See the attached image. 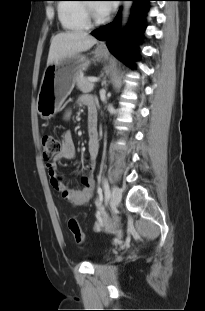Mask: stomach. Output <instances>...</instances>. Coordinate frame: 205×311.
<instances>
[{
	"mask_svg": "<svg viewBox=\"0 0 205 311\" xmlns=\"http://www.w3.org/2000/svg\"><path fill=\"white\" fill-rule=\"evenodd\" d=\"M106 57V51L98 48L94 51L96 60ZM89 65L90 60L80 53L66 57L58 63L47 65L37 97V111L42 118H51L59 111L74 88L75 78Z\"/></svg>",
	"mask_w": 205,
	"mask_h": 311,
	"instance_id": "1",
	"label": "stomach"
}]
</instances>
